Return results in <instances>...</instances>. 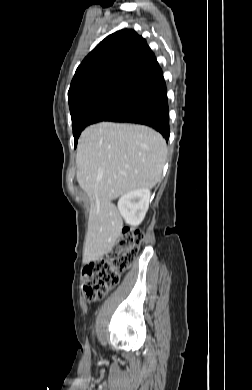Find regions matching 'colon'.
Wrapping results in <instances>:
<instances>
[{
	"mask_svg": "<svg viewBox=\"0 0 252 390\" xmlns=\"http://www.w3.org/2000/svg\"><path fill=\"white\" fill-rule=\"evenodd\" d=\"M143 233L134 230L124 233L105 258L87 264L83 271L84 292L89 302L102 299L114 288L120 273L135 261Z\"/></svg>",
	"mask_w": 252,
	"mask_h": 390,
	"instance_id": "colon-1",
	"label": "colon"
}]
</instances>
